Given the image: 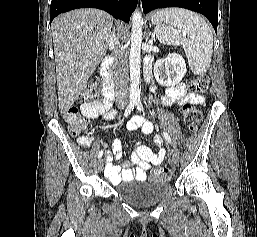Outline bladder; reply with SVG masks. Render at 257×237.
I'll use <instances>...</instances> for the list:
<instances>
[{
	"label": "bladder",
	"instance_id": "obj_1",
	"mask_svg": "<svg viewBox=\"0 0 257 237\" xmlns=\"http://www.w3.org/2000/svg\"><path fill=\"white\" fill-rule=\"evenodd\" d=\"M135 186L117 191L130 205L139 208H149L158 204L169 192L171 186L168 181H145V180H129Z\"/></svg>",
	"mask_w": 257,
	"mask_h": 237
}]
</instances>
